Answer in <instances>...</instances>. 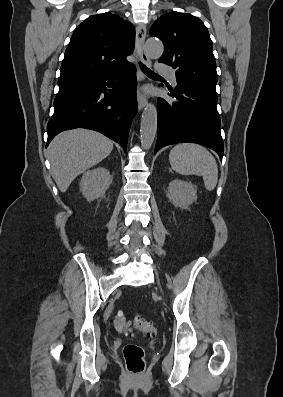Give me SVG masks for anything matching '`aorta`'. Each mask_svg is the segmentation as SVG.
<instances>
[{
    "label": "aorta",
    "mask_w": 283,
    "mask_h": 397,
    "mask_svg": "<svg viewBox=\"0 0 283 397\" xmlns=\"http://www.w3.org/2000/svg\"><path fill=\"white\" fill-rule=\"evenodd\" d=\"M163 44L159 39L150 38L146 41L145 50L152 59L159 58L163 53ZM157 132V110L149 103L145 107L140 124V141L144 149H149L155 139Z\"/></svg>",
    "instance_id": "1"
}]
</instances>
